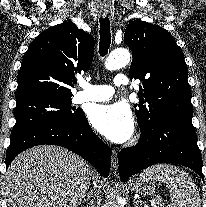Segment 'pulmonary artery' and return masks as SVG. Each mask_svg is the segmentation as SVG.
I'll use <instances>...</instances> for the list:
<instances>
[{
    "mask_svg": "<svg viewBox=\"0 0 206 207\" xmlns=\"http://www.w3.org/2000/svg\"><path fill=\"white\" fill-rule=\"evenodd\" d=\"M127 83L128 80L124 74H117L114 77V85L116 86H124ZM81 87L83 90L77 92L73 97L75 103L104 101L111 98L114 94V88L110 85H91L83 83Z\"/></svg>",
    "mask_w": 206,
    "mask_h": 207,
    "instance_id": "1",
    "label": "pulmonary artery"
}]
</instances>
